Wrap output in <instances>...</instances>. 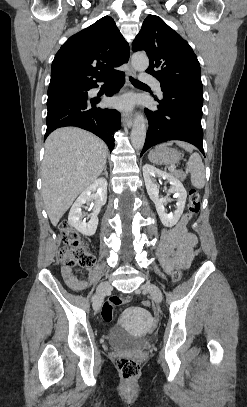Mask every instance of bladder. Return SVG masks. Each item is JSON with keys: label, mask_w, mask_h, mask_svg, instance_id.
Returning <instances> with one entry per match:
<instances>
[{"label": "bladder", "mask_w": 247, "mask_h": 407, "mask_svg": "<svg viewBox=\"0 0 247 407\" xmlns=\"http://www.w3.org/2000/svg\"><path fill=\"white\" fill-rule=\"evenodd\" d=\"M148 339L149 338L146 335L133 334L120 324H116L108 330V342L114 348H141L147 344Z\"/></svg>", "instance_id": "bladder-1"}]
</instances>
